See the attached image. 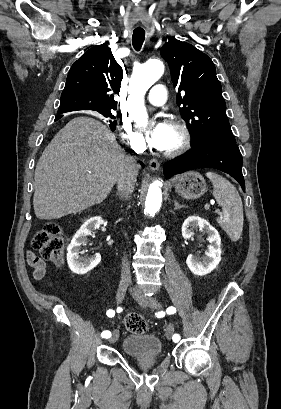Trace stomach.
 I'll return each mask as SVG.
<instances>
[{
  "label": "stomach",
  "mask_w": 281,
  "mask_h": 409,
  "mask_svg": "<svg viewBox=\"0 0 281 409\" xmlns=\"http://www.w3.org/2000/svg\"><path fill=\"white\" fill-rule=\"evenodd\" d=\"M175 188L183 198H199L206 192L207 184L202 174L195 170H188L178 176Z\"/></svg>",
  "instance_id": "obj_1"
}]
</instances>
